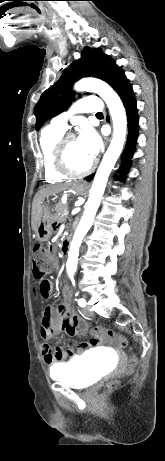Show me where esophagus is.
Wrapping results in <instances>:
<instances>
[{"mask_svg": "<svg viewBox=\"0 0 165 461\" xmlns=\"http://www.w3.org/2000/svg\"><path fill=\"white\" fill-rule=\"evenodd\" d=\"M111 137L108 138V142L110 141Z\"/></svg>", "mask_w": 165, "mask_h": 461, "instance_id": "obj_1", "label": "esophagus"}]
</instances>
